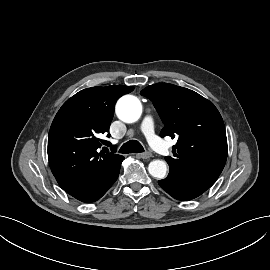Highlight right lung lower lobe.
<instances>
[{
  "label": "right lung lower lobe",
  "mask_w": 270,
  "mask_h": 270,
  "mask_svg": "<svg viewBox=\"0 0 270 270\" xmlns=\"http://www.w3.org/2000/svg\"><path fill=\"white\" fill-rule=\"evenodd\" d=\"M124 158L113 166L107 173L90 181L74 185L64 190L72 197L82 202H94L100 199L117 180L120 166Z\"/></svg>",
  "instance_id": "obj_1"
}]
</instances>
